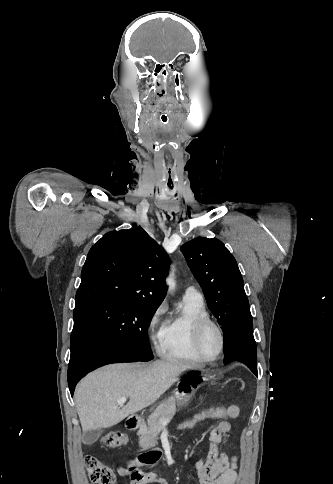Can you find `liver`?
<instances>
[{
  "instance_id": "6515ba94",
  "label": "liver",
  "mask_w": 333,
  "mask_h": 484,
  "mask_svg": "<svg viewBox=\"0 0 333 484\" xmlns=\"http://www.w3.org/2000/svg\"><path fill=\"white\" fill-rule=\"evenodd\" d=\"M191 367L178 362L112 364L84 377L75 390L83 432L109 428L155 403ZM128 397L120 408L117 400Z\"/></svg>"
}]
</instances>
